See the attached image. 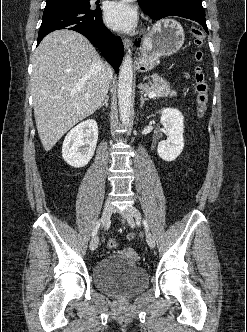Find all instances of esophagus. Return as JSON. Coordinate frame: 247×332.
<instances>
[{"label":"esophagus","mask_w":247,"mask_h":332,"mask_svg":"<svg viewBox=\"0 0 247 332\" xmlns=\"http://www.w3.org/2000/svg\"><path fill=\"white\" fill-rule=\"evenodd\" d=\"M122 41L125 49L130 51V49L132 48V41L127 37H123Z\"/></svg>","instance_id":"1"}]
</instances>
